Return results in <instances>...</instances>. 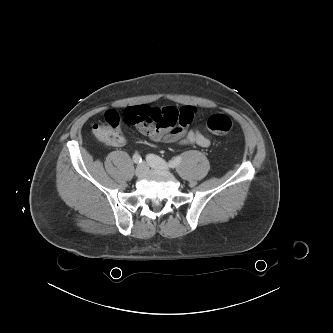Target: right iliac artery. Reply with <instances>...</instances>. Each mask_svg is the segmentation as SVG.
<instances>
[{
    "label": "right iliac artery",
    "mask_w": 333,
    "mask_h": 333,
    "mask_svg": "<svg viewBox=\"0 0 333 333\" xmlns=\"http://www.w3.org/2000/svg\"><path fill=\"white\" fill-rule=\"evenodd\" d=\"M133 161H134L135 163H137V164H140V163H142V158H141V156H140L139 154L135 153V154L133 155Z\"/></svg>",
    "instance_id": "right-iliac-artery-1"
}]
</instances>
